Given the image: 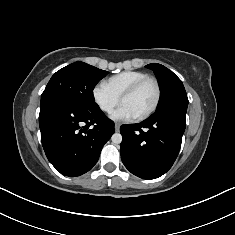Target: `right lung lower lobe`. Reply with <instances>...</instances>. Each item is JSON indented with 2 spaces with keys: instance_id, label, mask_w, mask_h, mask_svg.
Instances as JSON below:
<instances>
[{
  "instance_id": "obj_1",
  "label": "right lung lower lobe",
  "mask_w": 235,
  "mask_h": 235,
  "mask_svg": "<svg viewBox=\"0 0 235 235\" xmlns=\"http://www.w3.org/2000/svg\"><path fill=\"white\" fill-rule=\"evenodd\" d=\"M39 126L48 160L61 174L70 177L92 169L114 133V123L98 105L89 108L64 103L42 105Z\"/></svg>"
}]
</instances>
